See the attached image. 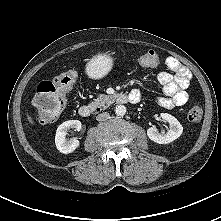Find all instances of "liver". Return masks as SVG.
Listing matches in <instances>:
<instances>
[{
    "label": "liver",
    "instance_id": "1",
    "mask_svg": "<svg viewBox=\"0 0 221 221\" xmlns=\"http://www.w3.org/2000/svg\"><path fill=\"white\" fill-rule=\"evenodd\" d=\"M27 118H28L30 123H32V124L34 123V121L32 120L31 116L28 115V113H27Z\"/></svg>",
    "mask_w": 221,
    "mask_h": 221
}]
</instances>
